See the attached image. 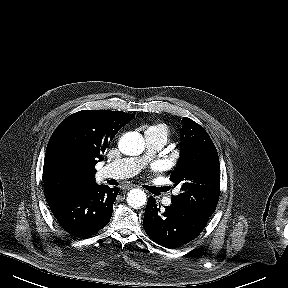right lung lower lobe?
<instances>
[{
	"mask_svg": "<svg viewBox=\"0 0 288 288\" xmlns=\"http://www.w3.org/2000/svg\"><path fill=\"white\" fill-rule=\"evenodd\" d=\"M119 190L92 184L64 195L46 199L62 228L74 237H88L106 226Z\"/></svg>",
	"mask_w": 288,
	"mask_h": 288,
	"instance_id": "1",
	"label": "right lung lower lobe"
}]
</instances>
